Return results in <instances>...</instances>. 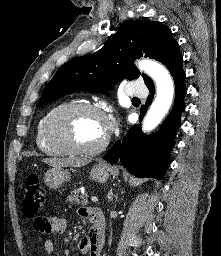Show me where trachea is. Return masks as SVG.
Wrapping results in <instances>:
<instances>
[{"mask_svg": "<svg viewBox=\"0 0 221 256\" xmlns=\"http://www.w3.org/2000/svg\"><path fill=\"white\" fill-rule=\"evenodd\" d=\"M133 100H137V101H139V99H138V98H133Z\"/></svg>", "mask_w": 221, "mask_h": 256, "instance_id": "obj_1", "label": "trachea"}]
</instances>
